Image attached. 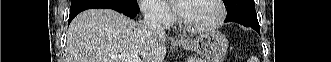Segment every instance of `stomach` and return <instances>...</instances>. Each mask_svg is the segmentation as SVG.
<instances>
[{
	"instance_id": "obj_1",
	"label": "stomach",
	"mask_w": 331,
	"mask_h": 62,
	"mask_svg": "<svg viewBox=\"0 0 331 62\" xmlns=\"http://www.w3.org/2000/svg\"><path fill=\"white\" fill-rule=\"evenodd\" d=\"M176 44L196 52L204 62H222L229 49L227 38L218 31L205 32L196 38H187Z\"/></svg>"
}]
</instances>
